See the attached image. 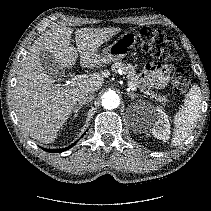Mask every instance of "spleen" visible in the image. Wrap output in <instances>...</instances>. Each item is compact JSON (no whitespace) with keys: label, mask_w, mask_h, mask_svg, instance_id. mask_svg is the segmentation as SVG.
Masks as SVG:
<instances>
[{"label":"spleen","mask_w":211,"mask_h":211,"mask_svg":"<svg viewBox=\"0 0 211 211\" xmlns=\"http://www.w3.org/2000/svg\"><path fill=\"white\" fill-rule=\"evenodd\" d=\"M202 94L198 85H193L186 94L184 106L174 117V133L171 145L178 146L195 129L200 116Z\"/></svg>","instance_id":"1"}]
</instances>
